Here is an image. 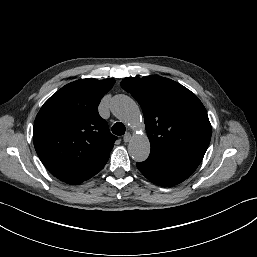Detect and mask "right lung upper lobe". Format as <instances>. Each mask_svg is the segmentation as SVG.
<instances>
[{
	"label": "right lung upper lobe",
	"instance_id": "1",
	"mask_svg": "<svg viewBox=\"0 0 257 257\" xmlns=\"http://www.w3.org/2000/svg\"><path fill=\"white\" fill-rule=\"evenodd\" d=\"M113 79L69 83L41 107L34 124V147L44 166L58 179L79 184L97 174L117 139L98 114Z\"/></svg>",
	"mask_w": 257,
	"mask_h": 257
}]
</instances>
